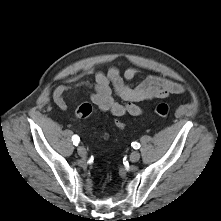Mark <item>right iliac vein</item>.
<instances>
[{
    "mask_svg": "<svg viewBox=\"0 0 221 221\" xmlns=\"http://www.w3.org/2000/svg\"><path fill=\"white\" fill-rule=\"evenodd\" d=\"M77 152L83 158L86 157V155H87V151H86V149L83 146H79L77 148Z\"/></svg>",
    "mask_w": 221,
    "mask_h": 221,
    "instance_id": "right-iliac-vein-1",
    "label": "right iliac vein"
}]
</instances>
